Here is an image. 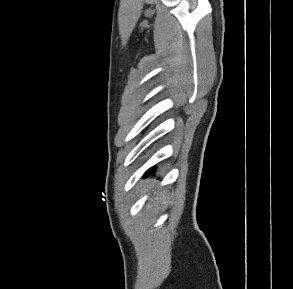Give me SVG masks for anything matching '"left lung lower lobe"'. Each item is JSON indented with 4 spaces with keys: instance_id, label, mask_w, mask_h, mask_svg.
Wrapping results in <instances>:
<instances>
[{
    "instance_id": "1",
    "label": "left lung lower lobe",
    "mask_w": 293,
    "mask_h": 289,
    "mask_svg": "<svg viewBox=\"0 0 293 289\" xmlns=\"http://www.w3.org/2000/svg\"><path fill=\"white\" fill-rule=\"evenodd\" d=\"M153 169H149L148 171H146L145 175H148L150 172L152 173Z\"/></svg>"
}]
</instances>
